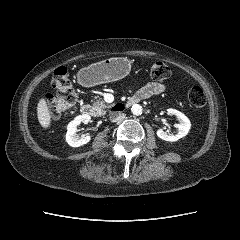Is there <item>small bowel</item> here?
Masks as SVG:
<instances>
[{
	"instance_id": "c3829d8e",
	"label": "small bowel",
	"mask_w": 240,
	"mask_h": 240,
	"mask_svg": "<svg viewBox=\"0 0 240 240\" xmlns=\"http://www.w3.org/2000/svg\"><path fill=\"white\" fill-rule=\"evenodd\" d=\"M168 85L161 82H149L144 87L138 90V94L143 98H149L151 96L159 95L165 92Z\"/></svg>"
}]
</instances>
